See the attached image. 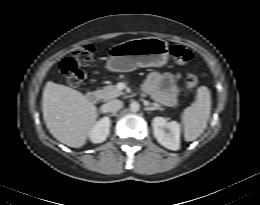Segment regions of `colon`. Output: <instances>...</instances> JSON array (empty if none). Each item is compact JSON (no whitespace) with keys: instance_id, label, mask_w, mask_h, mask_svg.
Here are the masks:
<instances>
[{"instance_id":"obj_1","label":"colon","mask_w":260,"mask_h":205,"mask_svg":"<svg viewBox=\"0 0 260 205\" xmlns=\"http://www.w3.org/2000/svg\"><path fill=\"white\" fill-rule=\"evenodd\" d=\"M171 57L177 64H186L192 58L189 49L181 45H173L170 49ZM96 47L93 44H87L75 49L70 57L63 59L61 71L67 82L71 86H79L85 78L81 67L88 65L94 59ZM186 85L190 90H194L198 85V77L194 73L186 76Z\"/></svg>"}]
</instances>
